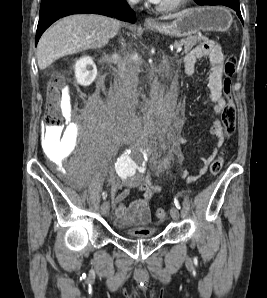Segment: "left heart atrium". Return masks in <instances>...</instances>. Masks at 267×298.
I'll use <instances>...</instances> for the list:
<instances>
[{"label": "left heart atrium", "instance_id": "1", "mask_svg": "<svg viewBox=\"0 0 267 298\" xmlns=\"http://www.w3.org/2000/svg\"><path fill=\"white\" fill-rule=\"evenodd\" d=\"M153 3H159L160 0H150Z\"/></svg>", "mask_w": 267, "mask_h": 298}]
</instances>
